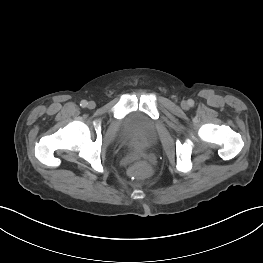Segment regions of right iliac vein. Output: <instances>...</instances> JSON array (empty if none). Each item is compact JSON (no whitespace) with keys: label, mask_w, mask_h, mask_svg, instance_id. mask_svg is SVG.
<instances>
[{"label":"right iliac vein","mask_w":263,"mask_h":263,"mask_svg":"<svg viewBox=\"0 0 263 263\" xmlns=\"http://www.w3.org/2000/svg\"><path fill=\"white\" fill-rule=\"evenodd\" d=\"M95 106H96V104H95L94 101H90V102L87 104V107H88L89 109H93V108H95Z\"/></svg>","instance_id":"63e3f726"}]
</instances>
